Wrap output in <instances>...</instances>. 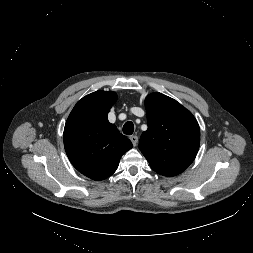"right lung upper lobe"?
Returning <instances> with one entry per match:
<instances>
[{"instance_id":"cb5924a9","label":"right lung upper lobe","mask_w":253,"mask_h":253,"mask_svg":"<svg viewBox=\"0 0 253 253\" xmlns=\"http://www.w3.org/2000/svg\"><path fill=\"white\" fill-rule=\"evenodd\" d=\"M115 92L96 91L80 99L64 128L66 154L73 166L92 180L100 181L117 169L121 156L132 148L107 115Z\"/></svg>"}]
</instances>
